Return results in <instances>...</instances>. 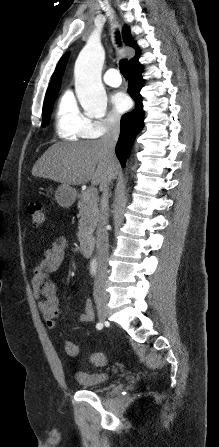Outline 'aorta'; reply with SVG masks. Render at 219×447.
Instances as JSON below:
<instances>
[{
  "mask_svg": "<svg viewBox=\"0 0 219 447\" xmlns=\"http://www.w3.org/2000/svg\"><path fill=\"white\" fill-rule=\"evenodd\" d=\"M105 53L99 43L89 41L79 53L75 63V86L78 101L89 115L103 116L107 109V96L101 82Z\"/></svg>",
  "mask_w": 219,
  "mask_h": 447,
  "instance_id": "aorta-1",
  "label": "aorta"
}]
</instances>
